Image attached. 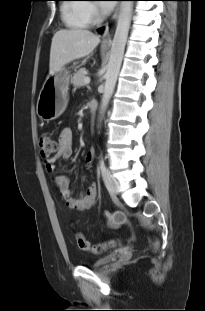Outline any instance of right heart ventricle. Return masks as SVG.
<instances>
[{
  "label": "right heart ventricle",
  "mask_w": 205,
  "mask_h": 311,
  "mask_svg": "<svg viewBox=\"0 0 205 311\" xmlns=\"http://www.w3.org/2000/svg\"><path fill=\"white\" fill-rule=\"evenodd\" d=\"M68 1L80 2L81 0H68ZM87 7H88L87 4L81 3L63 4L61 8V13L65 25L72 29L86 28L91 23Z\"/></svg>",
  "instance_id": "e07e8e85"
}]
</instances>
